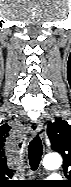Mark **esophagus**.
I'll return each mask as SVG.
<instances>
[{
  "mask_svg": "<svg viewBox=\"0 0 71 187\" xmlns=\"http://www.w3.org/2000/svg\"><path fill=\"white\" fill-rule=\"evenodd\" d=\"M29 128H30V132L33 135H36L42 130V124L39 120H34V121H31Z\"/></svg>",
  "mask_w": 71,
  "mask_h": 187,
  "instance_id": "34e87169",
  "label": "esophagus"
}]
</instances>
